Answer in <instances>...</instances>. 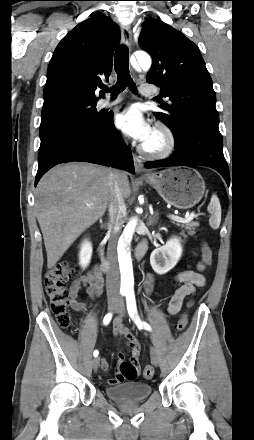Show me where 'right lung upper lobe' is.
<instances>
[{
    "instance_id": "right-lung-upper-lobe-1",
    "label": "right lung upper lobe",
    "mask_w": 254,
    "mask_h": 440,
    "mask_svg": "<svg viewBox=\"0 0 254 440\" xmlns=\"http://www.w3.org/2000/svg\"><path fill=\"white\" fill-rule=\"evenodd\" d=\"M119 38L117 24L103 14H95L72 29L50 60L44 102L63 95L98 100L95 89L109 79Z\"/></svg>"
}]
</instances>
